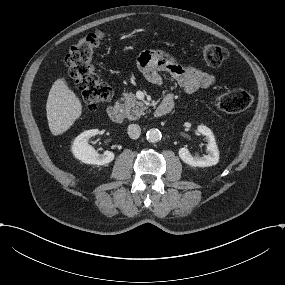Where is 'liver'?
<instances>
[{
	"mask_svg": "<svg viewBox=\"0 0 285 285\" xmlns=\"http://www.w3.org/2000/svg\"><path fill=\"white\" fill-rule=\"evenodd\" d=\"M47 119L53 135L67 131L82 114L79 98L71 91L64 78L57 79L52 85L47 103Z\"/></svg>",
	"mask_w": 285,
	"mask_h": 285,
	"instance_id": "liver-1",
	"label": "liver"
}]
</instances>
